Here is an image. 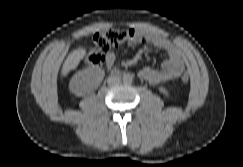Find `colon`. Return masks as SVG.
Returning a JSON list of instances; mask_svg holds the SVG:
<instances>
[{
	"instance_id": "1",
	"label": "colon",
	"mask_w": 243,
	"mask_h": 167,
	"mask_svg": "<svg viewBox=\"0 0 243 167\" xmlns=\"http://www.w3.org/2000/svg\"><path fill=\"white\" fill-rule=\"evenodd\" d=\"M130 38L131 32L129 29H109L96 33L93 38V47L85 51V62L92 67L101 66L105 61L106 52L126 44ZM189 80L187 74L181 77L183 83H188Z\"/></svg>"
}]
</instances>
